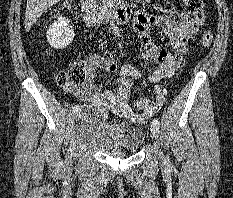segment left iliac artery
Segmentation results:
<instances>
[{
  "label": "left iliac artery",
  "mask_w": 233,
  "mask_h": 198,
  "mask_svg": "<svg viewBox=\"0 0 233 198\" xmlns=\"http://www.w3.org/2000/svg\"><path fill=\"white\" fill-rule=\"evenodd\" d=\"M163 92L166 93L165 90H163ZM152 124H154L155 126L159 127L160 126V121L158 119H153Z\"/></svg>",
  "instance_id": "obj_1"
}]
</instances>
